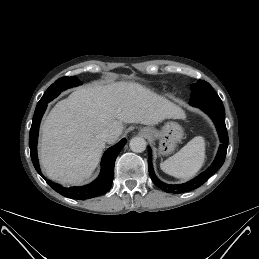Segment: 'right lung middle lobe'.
I'll return each mask as SVG.
<instances>
[{"mask_svg":"<svg viewBox=\"0 0 259 259\" xmlns=\"http://www.w3.org/2000/svg\"><path fill=\"white\" fill-rule=\"evenodd\" d=\"M79 84H80V82L73 76L72 77H62V78L58 79L57 81H55V83H53L47 89V91L44 93V95L38 102L37 106L50 102L55 97H57L62 90L66 89V88H70L72 86H77Z\"/></svg>","mask_w":259,"mask_h":259,"instance_id":"1","label":"right lung middle lobe"}]
</instances>
